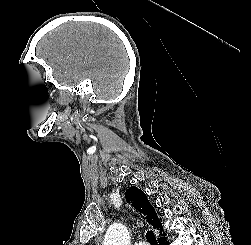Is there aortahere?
<instances>
[{"instance_id": "1", "label": "aorta", "mask_w": 251, "mask_h": 245, "mask_svg": "<svg viewBox=\"0 0 251 245\" xmlns=\"http://www.w3.org/2000/svg\"><path fill=\"white\" fill-rule=\"evenodd\" d=\"M103 245H130L127 228L121 223H113L106 232Z\"/></svg>"}]
</instances>
